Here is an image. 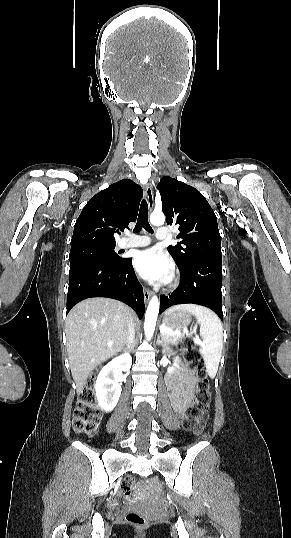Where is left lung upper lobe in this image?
Instances as JSON below:
<instances>
[{"mask_svg":"<svg viewBox=\"0 0 291 538\" xmlns=\"http://www.w3.org/2000/svg\"><path fill=\"white\" fill-rule=\"evenodd\" d=\"M158 190L167 224L179 226L181 241L167 248L179 269L195 258L222 257L217 218L206 198L169 176L160 180Z\"/></svg>","mask_w":291,"mask_h":538,"instance_id":"1","label":"left lung upper lobe"}]
</instances>
